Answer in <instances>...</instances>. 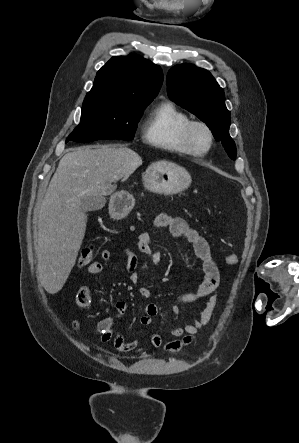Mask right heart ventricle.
<instances>
[{
  "instance_id": "1",
  "label": "right heart ventricle",
  "mask_w": 299,
  "mask_h": 443,
  "mask_svg": "<svg viewBox=\"0 0 299 443\" xmlns=\"http://www.w3.org/2000/svg\"><path fill=\"white\" fill-rule=\"evenodd\" d=\"M191 121L187 113L175 104L164 101L155 106L146 119L143 140L148 145L163 151L188 154L181 142V133Z\"/></svg>"
}]
</instances>
